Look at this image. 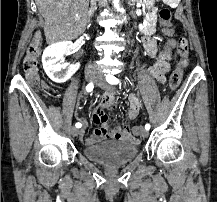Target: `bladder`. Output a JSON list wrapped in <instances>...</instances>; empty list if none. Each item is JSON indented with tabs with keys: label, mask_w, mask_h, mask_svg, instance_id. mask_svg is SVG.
<instances>
[{
	"label": "bladder",
	"mask_w": 217,
	"mask_h": 202,
	"mask_svg": "<svg viewBox=\"0 0 217 202\" xmlns=\"http://www.w3.org/2000/svg\"><path fill=\"white\" fill-rule=\"evenodd\" d=\"M86 158L113 166L130 162L138 155V144L128 142H104L84 147Z\"/></svg>",
	"instance_id": "1"
}]
</instances>
